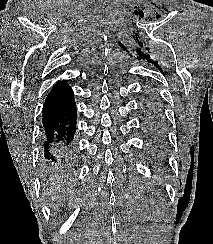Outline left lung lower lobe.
I'll use <instances>...</instances> for the list:
<instances>
[{
	"instance_id": "obj_1",
	"label": "left lung lower lobe",
	"mask_w": 213,
	"mask_h": 244,
	"mask_svg": "<svg viewBox=\"0 0 213 244\" xmlns=\"http://www.w3.org/2000/svg\"><path fill=\"white\" fill-rule=\"evenodd\" d=\"M150 127H151L150 125L147 126L148 131L150 132V135L153 137H157V134H156V131H154V128H151L153 130V132H152V130H150Z\"/></svg>"
}]
</instances>
